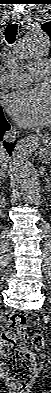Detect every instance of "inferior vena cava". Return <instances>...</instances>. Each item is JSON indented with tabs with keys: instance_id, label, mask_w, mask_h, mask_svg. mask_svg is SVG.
I'll list each match as a JSON object with an SVG mask.
<instances>
[{
	"instance_id": "602c4592",
	"label": "inferior vena cava",
	"mask_w": 51,
	"mask_h": 393,
	"mask_svg": "<svg viewBox=\"0 0 51 393\" xmlns=\"http://www.w3.org/2000/svg\"><path fill=\"white\" fill-rule=\"evenodd\" d=\"M16 133L15 131H8L4 135V139L9 141V142H14L16 139ZM0 149H3V146H0ZM7 161V156L5 155V152L3 150H0V163H3L1 166V171L4 173V167H6V162Z\"/></svg>"
}]
</instances>
